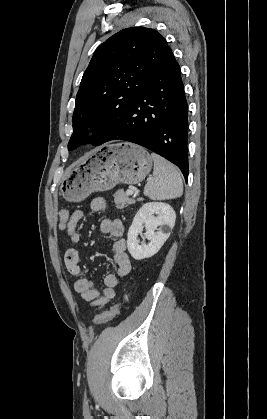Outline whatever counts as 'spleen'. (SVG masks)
Returning a JSON list of instances; mask_svg holds the SVG:
<instances>
[{
	"label": "spleen",
	"instance_id": "3e777b00",
	"mask_svg": "<svg viewBox=\"0 0 267 419\" xmlns=\"http://www.w3.org/2000/svg\"><path fill=\"white\" fill-rule=\"evenodd\" d=\"M153 179L147 182L144 195L151 200L178 198L183 193V182L178 169L158 154L152 153Z\"/></svg>",
	"mask_w": 267,
	"mask_h": 419
}]
</instances>
